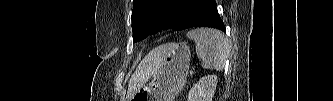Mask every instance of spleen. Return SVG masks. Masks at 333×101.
<instances>
[{"label":"spleen","mask_w":333,"mask_h":101,"mask_svg":"<svg viewBox=\"0 0 333 101\" xmlns=\"http://www.w3.org/2000/svg\"><path fill=\"white\" fill-rule=\"evenodd\" d=\"M187 36L196 43V53L204 69L222 70L231 47L220 31L208 28L191 30Z\"/></svg>","instance_id":"spleen-1"}]
</instances>
